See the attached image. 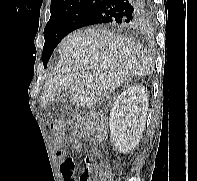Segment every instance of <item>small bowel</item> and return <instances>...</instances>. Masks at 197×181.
<instances>
[{
    "label": "small bowel",
    "mask_w": 197,
    "mask_h": 181,
    "mask_svg": "<svg viewBox=\"0 0 197 181\" xmlns=\"http://www.w3.org/2000/svg\"><path fill=\"white\" fill-rule=\"evenodd\" d=\"M67 143L75 145L78 149L82 148V145L77 143L73 138H68ZM56 157L60 162V169L64 181H77L75 177V161L73 158L67 156V151L64 147L57 149Z\"/></svg>",
    "instance_id": "1"
}]
</instances>
